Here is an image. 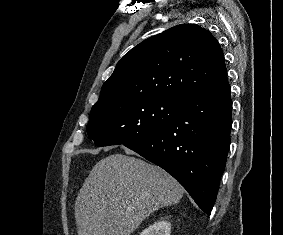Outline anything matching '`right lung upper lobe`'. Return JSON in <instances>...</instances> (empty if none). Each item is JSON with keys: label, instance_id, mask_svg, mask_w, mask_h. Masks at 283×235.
Segmentation results:
<instances>
[{"label": "right lung upper lobe", "instance_id": "1", "mask_svg": "<svg viewBox=\"0 0 283 235\" xmlns=\"http://www.w3.org/2000/svg\"><path fill=\"white\" fill-rule=\"evenodd\" d=\"M226 81L224 54L218 41L196 24H181L125 54L103 84L94 106L139 96L180 101Z\"/></svg>", "mask_w": 283, "mask_h": 235}]
</instances>
